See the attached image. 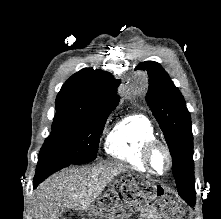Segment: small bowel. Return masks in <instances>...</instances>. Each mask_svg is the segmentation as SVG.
I'll use <instances>...</instances> for the list:
<instances>
[{"label": "small bowel", "mask_w": 221, "mask_h": 219, "mask_svg": "<svg viewBox=\"0 0 221 219\" xmlns=\"http://www.w3.org/2000/svg\"><path fill=\"white\" fill-rule=\"evenodd\" d=\"M155 210L153 208H147L143 211L141 219H155Z\"/></svg>", "instance_id": "obj_1"}]
</instances>
